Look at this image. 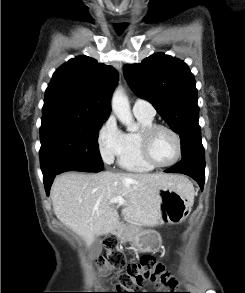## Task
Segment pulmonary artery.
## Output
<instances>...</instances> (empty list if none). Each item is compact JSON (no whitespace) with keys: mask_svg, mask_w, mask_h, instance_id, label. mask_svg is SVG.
<instances>
[{"mask_svg":"<svg viewBox=\"0 0 245 293\" xmlns=\"http://www.w3.org/2000/svg\"><path fill=\"white\" fill-rule=\"evenodd\" d=\"M133 113L135 115L154 116L155 109L149 101L138 98L133 104Z\"/></svg>","mask_w":245,"mask_h":293,"instance_id":"1","label":"pulmonary artery"}]
</instances>
